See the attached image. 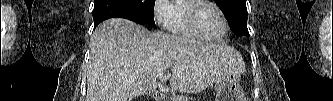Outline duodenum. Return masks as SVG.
Segmentation results:
<instances>
[{
  "mask_svg": "<svg viewBox=\"0 0 333 101\" xmlns=\"http://www.w3.org/2000/svg\"><path fill=\"white\" fill-rule=\"evenodd\" d=\"M153 98L157 101H164L165 100V97H164V94L161 93V92H154L152 94Z\"/></svg>",
  "mask_w": 333,
  "mask_h": 101,
  "instance_id": "duodenum-1",
  "label": "duodenum"
}]
</instances>
